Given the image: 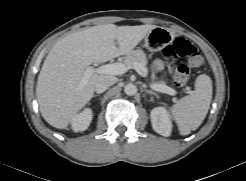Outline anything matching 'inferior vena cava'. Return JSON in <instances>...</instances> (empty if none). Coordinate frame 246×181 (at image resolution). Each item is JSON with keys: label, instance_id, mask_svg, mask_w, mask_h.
Instances as JSON below:
<instances>
[{"label": "inferior vena cava", "instance_id": "obj_1", "mask_svg": "<svg viewBox=\"0 0 246 181\" xmlns=\"http://www.w3.org/2000/svg\"><path fill=\"white\" fill-rule=\"evenodd\" d=\"M116 82V78L109 75H102L95 84V92L101 94Z\"/></svg>", "mask_w": 246, "mask_h": 181}]
</instances>
